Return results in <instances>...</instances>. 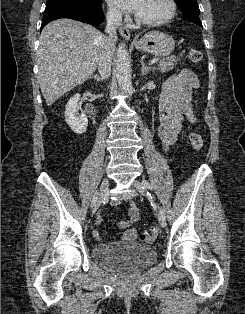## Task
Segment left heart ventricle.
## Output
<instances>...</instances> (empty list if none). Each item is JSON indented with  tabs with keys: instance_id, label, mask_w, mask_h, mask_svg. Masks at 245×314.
<instances>
[{
	"instance_id": "left-heart-ventricle-1",
	"label": "left heart ventricle",
	"mask_w": 245,
	"mask_h": 314,
	"mask_svg": "<svg viewBox=\"0 0 245 314\" xmlns=\"http://www.w3.org/2000/svg\"><path fill=\"white\" fill-rule=\"evenodd\" d=\"M168 11L166 0H145L137 16L144 20H153L165 15Z\"/></svg>"
}]
</instances>
